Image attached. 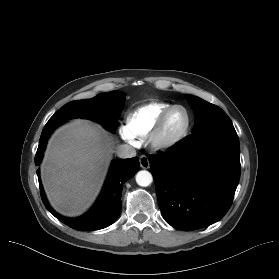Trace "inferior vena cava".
<instances>
[{
  "mask_svg": "<svg viewBox=\"0 0 279 279\" xmlns=\"http://www.w3.org/2000/svg\"><path fill=\"white\" fill-rule=\"evenodd\" d=\"M117 156L120 158H132L136 156V150L127 144H122L117 147Z\"/></svg>",
  "mask_w": 279,
  "mask_h": 279,
  "instance_id": "inferior-vena-cava-1",
  "label": "inferior vena cava"
}]
</instances>
